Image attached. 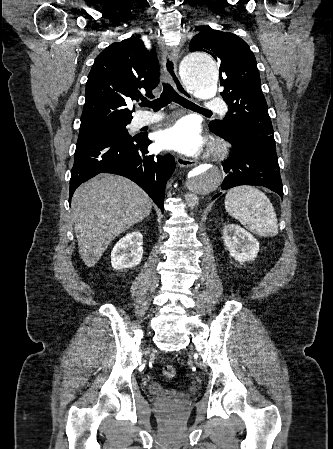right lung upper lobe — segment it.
Instances as JSON below:
<instances>
[{
    "label": "right lung upper lobe",
    "instance_id": "1",
    "mask_svg": "<svg viewBox=\"0 0 333 449\" xmlns=\"http://www.w3.org/2000/svg\"><path fill=\"white\" fill-rule=\"evenodd\" d=\"M159 83V63L152 49L131 37L113 43L95 59L88 75L80 128L116 122H131L126 102L138 100L139 89L146 95Z\"/></svg>",
    "mask_w": 333,
    "mask_h": 449
}]
</instances>
